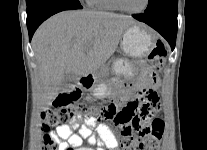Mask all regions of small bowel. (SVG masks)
<instances>
[{"mask_svg":"<svg viewBox=\"0 0 207 150\" xmlns=\"http://www.w3.org/2000/svg\"><path fill=\"white\" fill-rule=\"evenodd\" d=\"M146 81L151 86L148 77ZM118 99L120 101H127L128 96L126 94H121ZM76 131L77 133H75ZM46 136L58 140L61 144V150H67V148H70V150L118 149L117 136L109 125L100 124L94 128V122L88 120L85 123H81L78 115H73L67 124L57 127L55 130L50 131ZM83 140H87L90 145L97 144L98 147L96 149L86 147L83 145Z\"/></svg>","mask_w":207,"mask_h":150,"instance_id":"obj_1","label":"small bowel"}]
</instances>
